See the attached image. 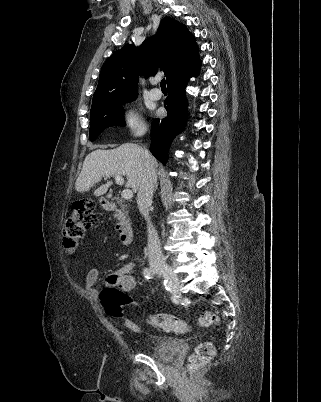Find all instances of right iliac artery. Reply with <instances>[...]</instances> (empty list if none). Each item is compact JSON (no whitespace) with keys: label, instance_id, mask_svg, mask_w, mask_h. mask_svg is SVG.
Masks as SVG:
<instances>
[{"label":"right iliac artery","instance_id":"1","mask_svg":"<svg viewBox=\"0 0 321 402\" xmlns=\"http://www.w3.org/2000/svg\"><path fill=\"white\" fill-rule=\"evenodd\" d=\"M143 274H144V277L147 279H152L154 277V272L150 268H145L143 271ZM164 285L168 291L172 292L173 288H172V284L170 282H167V280H164ZM176 299H177V296L175 295L173 300L176 301Z\"/></svg>","mask_w":321,"mask_h":402}]
</instances>
